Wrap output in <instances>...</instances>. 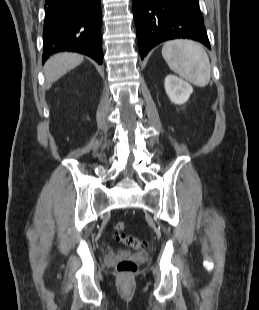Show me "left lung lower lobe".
Wrapping results in <instances>:
<instances>
[{"instance_id": "left-lung-lower-lobe-1", "label": "left lung lower lobe", "mask_w": 259, "mask_h": 310, "mask_svg": "<svg viewBox=\"0 0 259 310\" xmlns=\"http://www.w3.org/2000/svg\"><path fill=\"white\" fill-rule=\"evenodd\" d=\"M139 53L176 38L199 41L210 48L198 0H133Z\"/></svg>"}]
</instances>
